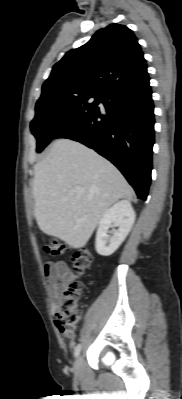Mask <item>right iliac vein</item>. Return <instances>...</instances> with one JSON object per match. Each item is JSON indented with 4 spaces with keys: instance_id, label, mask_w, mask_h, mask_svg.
I'll return each mask as SVG.
<instances>
[{
    "instance_id": "right-iliac-vein-1",
    "label": "right iliac vein",
    "mask_w": 182,
    "mask_h": 399,
    "mask_svg": "<svg viewBox=\"0 0 182 399\" xmlns=\"http://www.w3.org/2000/svg\"><path fill=\"white\" fill-rule=\"evenodd\" d=\"M84 360L82 356H78L74 363V374L77 377L81 376L83 370Z\"/></svg>"
}]
</instances>
